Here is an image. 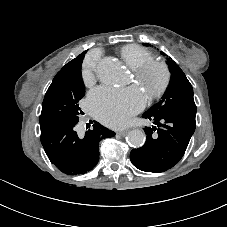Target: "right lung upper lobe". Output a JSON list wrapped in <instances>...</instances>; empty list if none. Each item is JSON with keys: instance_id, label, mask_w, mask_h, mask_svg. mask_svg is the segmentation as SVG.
Returning <instances> with one entry per match:
<instances>
[{"instance_id": "1", "label": "right lung upper lobe", "mask_w": 227, "mask_h": 227, "mask_svg": "<svg viewBox=\"0 0 227 227\" xmlns=\"http://www.w3.org/2000/svg\"><path fill=\"white\" fill-rule=\"evenodd\" d=\"M85 53L83 52L82 54L77 56L75 59H73L72 61L67 63L59 72H62L64 70H67V69H70V68H73L74 66H76L82 60V58H84Z\"/></svg>"}]
</instances>
